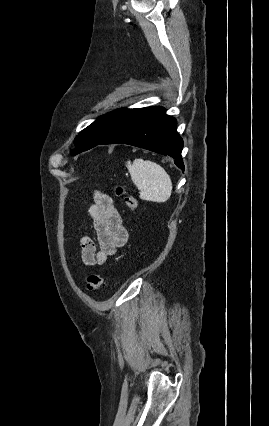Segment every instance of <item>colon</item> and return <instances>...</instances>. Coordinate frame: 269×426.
<instances>
[{"label":"colon","mask_w":269,"mask_h":426,"mask_svg":"<svg viewBox=\"0 0 269 426\" xmlns=\"http://www.w3.org/2000/svg\"><path fill=\"white\" fill-rule=\"evenodd\" d=\"M115 193L117 196L122 198V203L127 209H129L130 211H134L136 209V198L132 194L126 192L123 187H116ZM86 286L90 291L101 290L106 287V280L100 274H90L86 278Z\"/></svg>","instance_id":"5ec220e1"}]
</instances>
